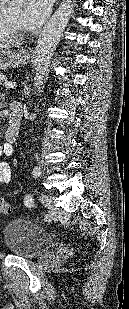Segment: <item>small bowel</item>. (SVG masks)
I'll use <instances>...</instances> for the list:
<instances>
[{
  "instance_id": "small-bowel-1",
  "label": "small bowel",
  "mask_w": 129,
  "mask_h": 309,
  "mask_svg": "<svg viewBox=\"0 0 129 309\" xmlns=\"http://www.w3.org/2000/svg\"><path fill=\"white\" fill-rule=\"evenodd\" d=\"M13 152L12 146L9 143H4L0 146V154L10 156ZM12 179V171L6 162H0V185L8 184Z\"/></svg>"
}]
</instances>
